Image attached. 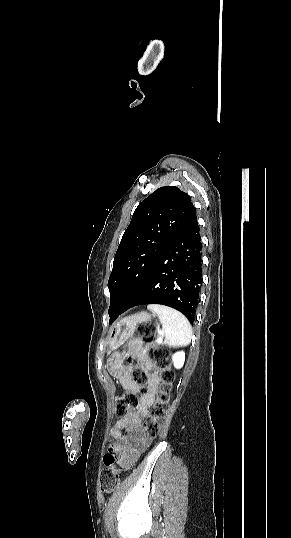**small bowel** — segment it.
Wrapping results in <instances>:
<instances>
[{"label":"small bowel","mask_w":291,"mask_h":538,"mask_svg":"<svg viewBox=\"0 0 291 538\" xmlns=\"http://www.w3.org/2000/svg\"><path fill=\"white\" fill-rule=\"evenodd\" d=\"M131 350L142 357L139 344H133ZM143 360L149 372L148 390L145 392H142L132 381L129 372L121 367L123 362L121 354H112L106 366L107 374L117 378L122 388L142 395L136 412H131L119 419L110 431L113 441L109 451L115 455L119 465L124 469L131 468L152 442V438L143 427L142 417L148 414L154 402V393L160 380L157 372L148 366L145 359Z\"/></svg>","instance_id":"small-bowel-1"}]
</instances>
